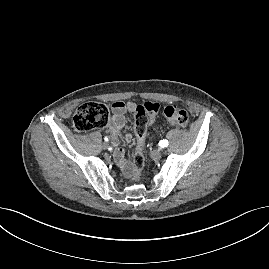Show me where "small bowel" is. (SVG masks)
I'll list each match as a JSON object with an SVG mask.
<instances>
[{
  "label": "small bowel",
  "mask_w": 269,
  "mask_h": 269,
  "mask_svg": "<svg viewBox=\"0 0 269 269\" xmlns=\"http://www.w3.org/2000/svg\"><path fill=\"white\" fill-rule=\"evenodd\" d=\"M136 107V104L133 102H114L112 105L113 116L108 126V132L110 133L112 143L115 146L114 159L120 165L122 172L126 177H132L135 173V168L133 164L126 158L124 148L118 147V144L120 139V131L126 124L125 113H135ZM124 139L127 143H131L133 136L130 133H126Z\"/></svg>",
  "instance_id": "obj_1"
}]
</instances>
